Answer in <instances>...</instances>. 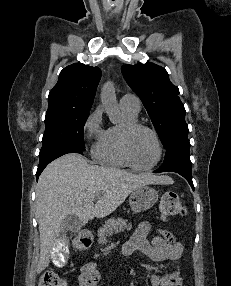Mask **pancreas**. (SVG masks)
Wrapping results in <instances>:
<instances>
[{
	"label": "pancreas",
	"instance_id": "1",
	"mask_svg": "<svg viewBox=\"0 0 231 286\" xmlns=\"http://www.w3.org/2000/svg\"><path fill=\"white\" fill-rule=\"evenodd\" d=\"M125 229L131 230L132 225L128 223L127 220L122 218H110L105 224L98 230V243L104 244L106 243V237L108 235H112L114 233H119L124 231Z\"/></svg>",
	"mask_w": 231,
	"mask_h": 286
}]
</instances>
